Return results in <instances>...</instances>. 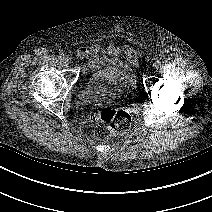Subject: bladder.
<instances>
[{
	"label": "bladder",
	"mask_w": 212,
	"mask_h": 212,
	"mask_svg": "<svg viewBox=\"0 0 212 212\" xmlns=\"http://www.w3.org/2000/svg\"><path fill=\"white\" fill-rule=\"evenodd\" d=\"M137 85L131 66L123 61L94 69L78 91L81 107L125 104L135 100Z\"/></svg>",
	"instance_id": "obj_1"
}]
</instances>
